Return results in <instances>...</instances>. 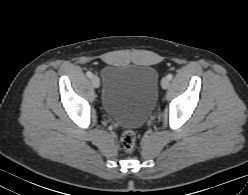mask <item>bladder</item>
<instances>
[{"label": "bladder", "mask_w": 248, "mask_h": 195, "mask_svg": "<svg viewBox=\"0 0 248 195\" xmlns=\"http://www.w3.org/2000/svg\"><path fill=\"white\" fill-rule=\"evenodd\" d=\"M101 105L124 127L141 126L157 99L158 73L152 66L109 65L102 73Z\"/></svg>", "instance_id": "31cf9c89"}]
</instances>
